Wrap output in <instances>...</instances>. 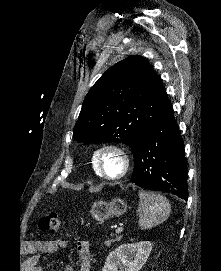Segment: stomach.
I'll return each mask as SVG.
<instances>
[{"instance_id":"obj_1","label":"stomach","mask_w":221,"mask_h":271,"mask_svg":"<svg viewBox=\"0 0 221 271\" xmlns=\"http://www.w3.org/2000/svg\"><path fill=\"white\" fill-rule=\"evenodd\" d=\"M127 211V203L121 197H115L112 201H94L91 207V215L97 221H104L113 215H123Z\"/></svg>"}]
</instances>
